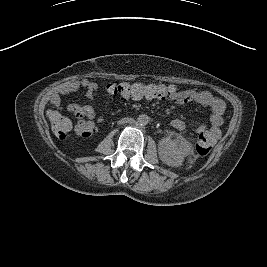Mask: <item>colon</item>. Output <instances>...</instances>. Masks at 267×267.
Wrapping results in <instances>:
<instances>
[{
  "label": "colon",
  "mask_w": 267,
  "mask_h": 267,
  "mask_svg": "<svg viewBox=\"0 0 267 267\" xmlns=\"http://www.w3.org/2000/svg\"><path fill=\"white\" fill-rule=\"evenodd\" d=\"M107 91L110 94L116 95L121 99H140V98H160V99H174L176 92L172 87L158 85V84H142L123 82L118 84H110L107 86ZM78 123L85 125V120L80 111L74 114ZM51 129L53 134L58 138H66L72 129V122L70 118L56 113L51 117ZM85 136H90L92 131L86 129L83 133ZM213 147V139L207 133H202L199 136L196 145V152L199 156H206L210 153Z\"/></svg>",
  "instance_id": "5ec220e1"
}]
</instances>
